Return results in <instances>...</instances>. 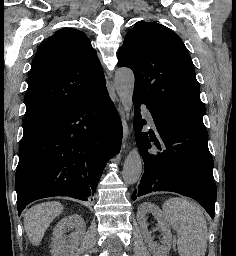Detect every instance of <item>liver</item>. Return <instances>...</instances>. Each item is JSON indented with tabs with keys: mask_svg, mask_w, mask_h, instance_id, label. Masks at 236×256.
<instances>
[{
	"mask_svg": "<svg viewBox=\"0 0 236 256\" xmlns=\"http://www.w3.org/2000/svg\"><path fill=\"white\" fill-rule=\"evenodd\" d=\"M63 206L59 202L37 204L24 214V228L33 246H39L42 238L56 216L62 214Z\"/></svg>",
	"mask_w": 236,
	"mask_h": 256,
	"instance_id": "obj_1",
	"label": "liver"
}]
</instances>
